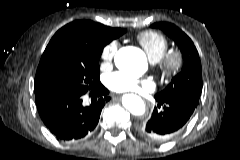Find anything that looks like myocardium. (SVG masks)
I'll return each mask as SVG.
<instances>
[{
	"label": "myocardium",
	"instance_id": "obj_1",
	"mask_svg": "<svg viewBox=\"0 0 240 160\" xmlns=\"http://www.w3.org/2000/svg\"><path fill=\"white\" fill-rule=\"evenodd\" d=\"M158 65L161 76L170 81L180 74L184 65V59L179 51L173 50L166 52L158 61Z\"/></svg>",
	"mask_w": 240,
	"mask_h": 160
}]
</instances>
